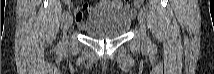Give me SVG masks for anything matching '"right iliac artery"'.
Masks as SVG:
<instances>
[{
	"instance_id": "1",
	"label": "right iliac artery",
	"mask_w": 214,
	"mask_h": 74,
	"mask_svg": "<svg viewBox=\"0 0 214 74\" xmlns=\"http://www.w3.org/2000/svg\"><path fill=\"white\" fill-rule=\"evenodd\" d=\"M67 16H69V12L68 11L64 14L65 18H67ZM58 48H61V44L60 43L58 44Z\"/></svg>"
}]
</instances>
